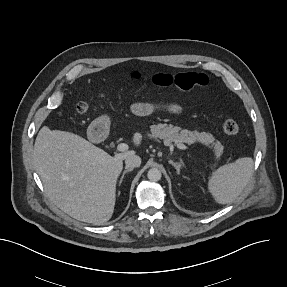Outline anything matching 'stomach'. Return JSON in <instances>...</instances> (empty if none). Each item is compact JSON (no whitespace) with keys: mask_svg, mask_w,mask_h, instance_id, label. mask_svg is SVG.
Segmentation results:
<instances>
[{"mask_svg":"<svg viewBox=\"0 0 287 287\" xmlns=\"http://www.w3.org/2000/svg\"><path fill=\"white\" fill-rule=\"evenodd\" d=\"M110 127V119L108 115H101L97 119H95L92 124L91 128H99L103 131H108Z\"/></svg>","mask_w":287,"mask_h":287,"instance_id":"obj_1","label":"stomach"}]
</instances>
